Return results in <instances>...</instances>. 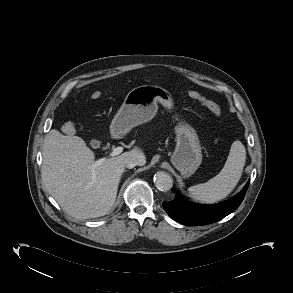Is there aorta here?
Here are the masks:
<instances>
[{"mask_svg":"<svg viewBox=\"0 0 293 293\" xmlns=\"http://www.w3.org/2000/svg\"><path fill=\"white\" fill-rule=\"evenodd\" d=\"M154 184L160 191H169L173 186V179L166 172H157L154 176Z\"/></svg>","mask_w":293,"mask_h":293,"instance_id":"1","label":"aorta"}]
</instances>
